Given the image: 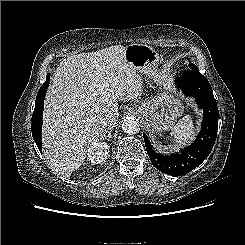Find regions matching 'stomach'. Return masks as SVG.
<instances>
[{
    "label": "stomach",
    "mask_w": 245,
    "mask_h": 245,
    "mask_svg": "<svg viewBox=\"0 0 245 245\" xmlns=\"http://www.w3.org/2000/svg\"><path fill=\"white\" fill-rule=\"evenodd\" d=\"M125 59L135 72L146 75L161 89L154 98L137 105L135 111L153 132L172 129L176 120L183 114L184 105L174 94L168 77L157 70V51L148 45L131 44L126 47Z\"/></svg>",
    "instance_id": "1"
}]
</instances>
